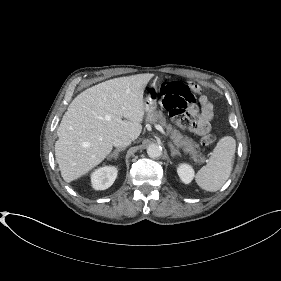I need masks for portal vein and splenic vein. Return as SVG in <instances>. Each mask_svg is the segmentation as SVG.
<instances>
[{
    "label": "portal vein and splenic vein",
    "mask_w": 281,
    "mask_h": 281,
    "mask_svg": "<svg viewBox=\"0 0 281 281\" xmlns=\"http://www.w3.org/2000/svg\"><path fill=\"white\" fill-rule=\"evenodd\" d=\"M155 128L161 132L162 134L166 135L167 136V133L165 132V130L163 129V127L159 124H155Z\"/></svg>",
    "instance_id": "obj_1"
}]
</instances>
